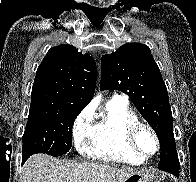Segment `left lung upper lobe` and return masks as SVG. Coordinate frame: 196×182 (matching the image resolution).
Instances as JSON below:
<instances>
[{"label":"left lung upper lobe","mask_w":196,"mask_h":182,"mask_svg":"<svg viewBox=\"0 0 196 182\" xmlns=\"http://www.w3.org/2000/svg\"><path fill=\"white\" fill-rule=\"evenodd\" d=\"M100 90L128 94L140 114L157 134L162 148L176 151L173 118L167 88L148 46L127 43L101 58ZM161 153V152H160ZM179 161L159 162V169L176 175Z\"/></svg>","instance_id":"left-lung-upper-lobe-1"}]
</instances>
